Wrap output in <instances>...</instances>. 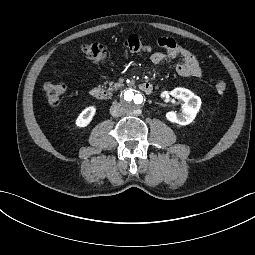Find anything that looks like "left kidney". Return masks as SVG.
<instances>
[{
  "instance_id": "left-kidney-1",
  "label": "left kidney",
  "mask_w": 255,
  "mask_h": 255,
  "mask_svg": "<svg viewBox=\"0 0 255 255\" xmlns=\"http://www.w3.org/2000/svg\"><path fill=\"white\" fill-rule=\"evenodd\" d=\"M171 95L175 99H178L184 102L182 106L181 113H176L170 111L166 113V118L170 122L178 123L180 125L190 124L196 117L200 107L201 99L199 96H196L193 92L186 88H175L174 90L168 92L164 91L161 93V98H166Z\"/></svg>"
}]
</instances>
